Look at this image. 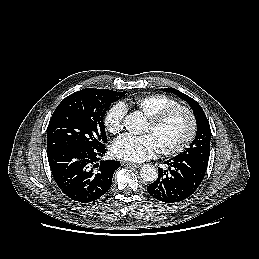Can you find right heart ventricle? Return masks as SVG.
<instances>
[{"label": "right heart ventricle", "instance_id": "obj_1", "mask_svg": "<svg viewBox=\"0 0 259 259\" xmlns=\"http://www.w3.org/2000/svg\"><path fill=\"white\" fill-rule=\"evenodd\" d=\"M131 103L148 118L166 108L179 105L175 99L159 93L138 96Z\"/></svg>", "mask_w": 259, "mask_h": 259}]
</instances>
